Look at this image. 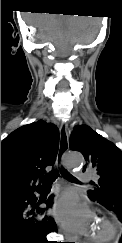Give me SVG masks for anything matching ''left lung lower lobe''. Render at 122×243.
Segmentation results:
<instances>
[{
    "label": "left lung lower lobe",
    "mask_w": 122,
    "mask_h": 243,
    "mask_svg": "<svg viewBox=\"0 0 122 243\" xmlns=\"http://www.w3.org/2000/svg\"><path fill=\"white\" fill-rule=\"evenodd\" d=\"M114 191L119 194V196H117V198L121 199L122 198V188H117ZM119 243H122V236H121V239H120Z\"/></svg>",
    "instance_id": "obj_1"
}]
</instances>
